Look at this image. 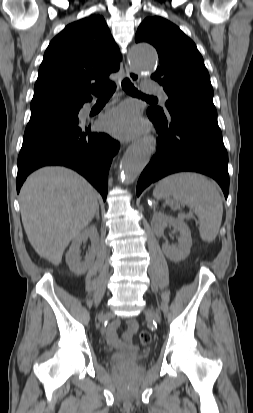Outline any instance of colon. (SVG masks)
I'll list each match as a JSON object with an SVG mask.
<instances>
[{
    "label": "colon",
    "mask_w": 253,
    "mask_h": 413,
    "mask_svg": "<svg viewBox=\"0 0 253 413\" xmlns=\"http://www.w3.org/2000/svg\"><path fill=\"white\" fill-rule=\"evenodd\" d=\"M151 334L147 331H142L139 334V341L141 342V344L146 345L149 344L151 342Z\"/></svg>",
    "instance_id": "obj_1"
}]
</instances>
